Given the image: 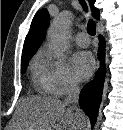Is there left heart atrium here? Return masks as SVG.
Segmentation results:
<instances>
[{
    "label": "left heart atrium",
    "mask_w": 123,
    "mask_h": 130,
    "mask_svg": "<svg viewBox=\"0 0 123 130\" xmlns=\"http://www.w3.org/2000/svg\"><path fill=\"white\" fill-rule=\"evenodd\" d=\"M71 64L79 80L87 79L94 71L95 60L91 53L79 51L73 54Z\"/></svg>",
    "instance_id": "obj_1"
}]
</instances>
